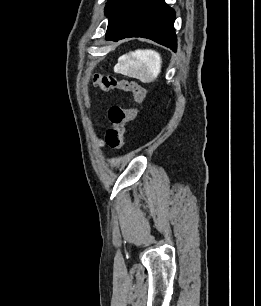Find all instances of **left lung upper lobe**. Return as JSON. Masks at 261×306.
Listing matches in <instances>:
<instances>
[{
    "label": "left lung upper lobe",
    "mask_w": 261,
    "mask_h": 306,
    "mask_svg": "<svg viewBox=\"0 0 261 306\" xmlns=\"http://www.w3.org/2000/svg\"><path fill=\"white\" fill-rule=\"evenodd\" d=\"M132 0H108L105 7V14L108 16L107 32H111L116 26L125 8Z\"/></svg>",
    "instance_id": "obj_1"
}]
</instances>
